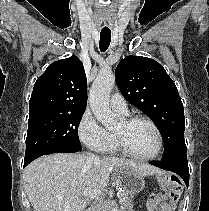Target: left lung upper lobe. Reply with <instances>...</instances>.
<instances>
[{"label":"left lung upper lobe","instance_id":"obj_1","mask_svg":"<svg viewBox=\"0 0 209 211\" xmlns=\"http://www.w3.org/2000/svg\"><path fill=\"white\" fill-rule=\"evenodd\" d=\"M115 73L124 98L159 128L165 143L162 160L186 154L183 104L162 65L147 57L127 56L119 62Z\"/></svg>","mask_w":209,"mask_h":211}]
</instances>
